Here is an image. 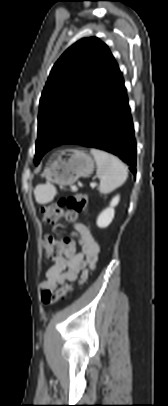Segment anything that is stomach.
I'll return each mask as SVG.
<instances>
[{
	"mask_svg": "<svg viewBox=\"0 0 168 406\" xmlns=\"http://www.w3.org/2000/svg\"><path fill=\"white\" fill-rule=\"evenodd\" d=\"M95 167L93 158L84 151H61L45 168L43 176L50 183L72 185L80 177L90 176Z\"/></svg>",
	"mask_w": 168,
	"mask_h": 406,
	"instance_id": "1",
	"label": "stomach"
}]
</instances>
